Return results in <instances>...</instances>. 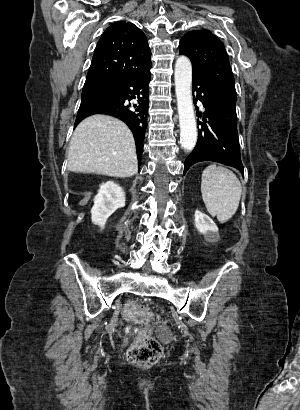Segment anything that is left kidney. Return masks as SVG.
Instances as JSON below:
<instances>
[{"instance_id":"1","label":"left kidney","mask_w":300,"mask_h":410,"mask_svg":"<svg viewBox=\"0 0 300 410\" xmlns=\"http://www.w3.org/2000/svg\"><path fill=\"white\" fill-rule=\"evenodd\" d=\"M195 227L202 234H206L207 232H218V227L214 221L208 215L198 210L195 211Z\"/></svg>"}]
</instances>
